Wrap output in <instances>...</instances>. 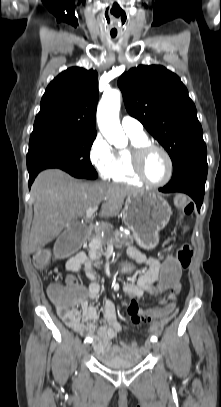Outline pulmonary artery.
<instances>
[{"mask_svg": "<svg viewBox=\"0 0 221 407\" xmlns=\"http://www.w3.org/2000/svg\"><path fill=\"white\" fill-rule=\"evenodd\" d=\"M121 126L127 134H144L143 125L131 116H124L121 120Z\"/></svg>", "mask_w": 221, "mask_h": 407, "instance_id": "pulmonary-artery-1", "label": "pulmonary artery"}]
</instances>
